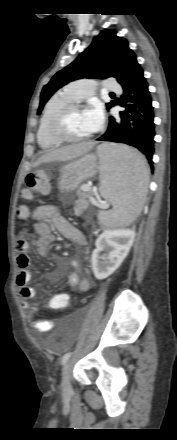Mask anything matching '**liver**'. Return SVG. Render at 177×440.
<instances>
[{
    "instance_id": "liver-1",
    "label": "liver",
    "mask_w": 177,
    "mask_h": 440,
    "mask_svg": "<svg viewBox=\"0 0 177 440\" xmlns=\"http://www.w3.org/2000/svg\"><path fill=\"white\" fill-rule=\"evenodd\" d=\"M94 145V142H81L49 150L35 162L34 166L51 161H68L75 159L91 151Z\"/></svg>"
}]
</instances>
